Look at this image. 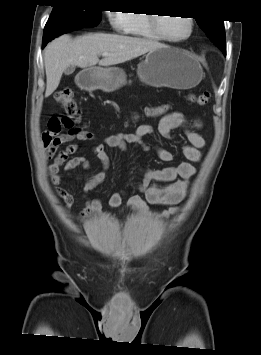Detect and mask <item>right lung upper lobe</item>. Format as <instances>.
Listing matches in <instances>:
<instances>
[{
    "label": "right lung upper lobe",
    "instance_id": "cb5924a9",
    "mask_svg": "<svg viewBox=\"0 0 261 355\" xmlns=\"http://www.w3.org/2000/svg\"><path fill=\"white\" fill-rule=\"evenodd\" d=\"M63 1H67V0H54L55 3H60V2H63Z\"/></svg>",
    "mask_w": 261,
    "mask_h": 355
}]
</instances>
